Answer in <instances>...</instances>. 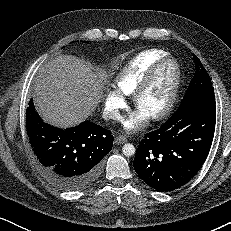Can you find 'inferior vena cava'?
I'll return each instance as SVG.
<instances>
[{
    "instance_id": "602c4592",
    "label": "inferior vena cava",
    "mask_w": 231,
    "mask_h": 231,
    "mask_svg": "<svg viewBox=\"0 0 231 231\" xmlns=\"http://www.w3.org/2000/svg\"><path fill=\"white\" fill-rule=\"evenodd\" d=\"M104 119H113V120H120L121 116L118 111L113 112H104L103 114Z\"/></svg>"
}]
</instances>
